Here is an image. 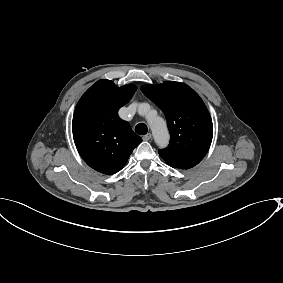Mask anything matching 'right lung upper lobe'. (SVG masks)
<instances>
[{
	"label": "right lung upper lobe",
	"mask_w": 283,
	"mask_h": 283,
	"mask_svg": "<svg viewBox=\"0 0 283 283\" xmlns=\"http://www.w3.org/2000/svg\"><path fill=\"white\" fill-rule=\"evenodd\" d=\"M137 87H117L102 79L92 85L79 100L72 130L77 150L94 170L114 174L126 164L142 139L119 118L118 110L128 103Z\"/></svg>",
	"instance_id": "right-lung-upper-lobe-1"
}]
</instances>
